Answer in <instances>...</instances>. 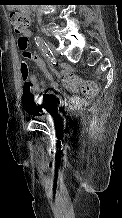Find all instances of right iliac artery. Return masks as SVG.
Masks as SVG:
<instances>
[{
  "instance_id": "right-iliac-artery-1",
  "label": "right iliac artery",
  "mask_w": 122,
  "mask_h": 218,
  "mask_svg": "<svg viewBox=\"0 0 122 218\" xmlns=\"http://www.w3.org/2000/svg\"><path fill=\"white\" fill-rule=\"evenodd\" d=\"M34 40L38 48L42 51L43 55L50 58V56L52 55V52L48 48L46 42L39 36H36Z\"/></svg>"
}]
</instances>
